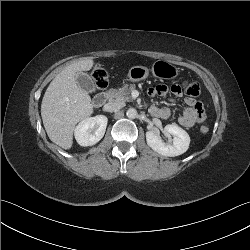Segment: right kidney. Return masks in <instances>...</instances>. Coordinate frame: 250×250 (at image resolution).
Returning <instances> with one entry per match:
<instances>
[{
  "label": "right kidney",
  "mask_w": 250,
  "mask_h": 250,
  "mask_svg": "<svg viewBox=\"0 0 250 250\" xmlns=\"http://www.w3.org/2000/svg\"><path fill=\"white\" fill-rule=\"evenodd\" d=\"M108 119L104 115H97L82 120L75 128V139L81 146H93L104 136Z\"/></svg>",
  "instance_id": "ca27d5eb"
}]
</instances>
